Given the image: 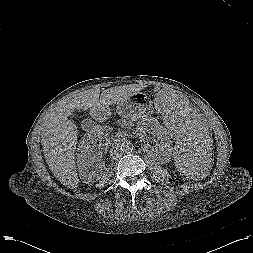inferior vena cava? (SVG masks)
Returning <instances> with one entry per match:
<instances>
[{
    "label": "inferior vena cava",
    "instance_id": "1",
    "mask_svg": "<svg viewBox=\"0 0 253 253\" xmlns=\"http://www.w3.org/2000/svg\"><path fill=\"white\" fill-rule=\"evenodd\" d=\"M99 131V130H97ZM111 155L112 157L115 159V158H119L123 155V152L122 150L117 146L115 147L114 149L111 150Z\"/></svg>",
    "mask_w": 253,
    "mask_h": 253
}]
</instances>
